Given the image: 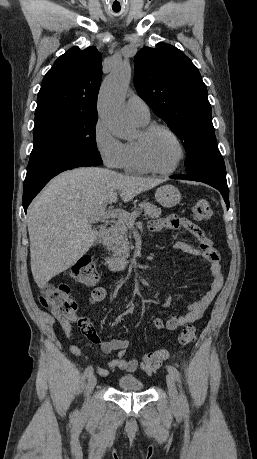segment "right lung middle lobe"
Masks as SVG:
<instances>
[{"label": "right lung middle lobe", "mask_w": 257, "mask_h": 459, "mask_svg": "<svg viewBox=\"0 0 257 459\" xmlns=\"http://www.w3.org/2000/svg\"><path fill=\"white\" fill-rule=\"evenodd\" d=\"M98 115L67 109L35 112L31 156L67 150L102 160L96 148Z\"/></svg>", "instance_id": "dd1d6c3e"}]
</instances>
